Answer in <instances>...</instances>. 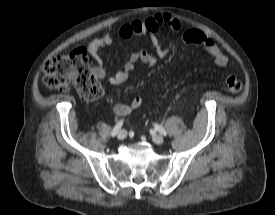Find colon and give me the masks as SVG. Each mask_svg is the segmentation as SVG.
<instances>
[{
  "label": "colon",
  "mask_w": 275,
  "mask_h": 215,
  "mask_svg": "<svg viewBox=\"0 0 275 215\" xmlns=\"http://www.w3.org/2000/svg\"><path fill=\"white\" fill-rule=\"evenodd\" d=\"M43 81L47 87L60 92L75 88L86 100H96L103 95V88L93 75L88 54L83 48L49 58L43 67ZM223 88L235 94L242 90L243 84L237 77L228 75Z\"/></svg>",
  "instance_id": "1"
}]
</instances>
